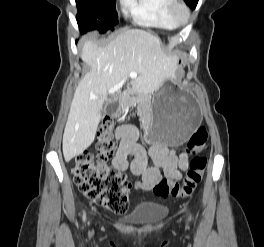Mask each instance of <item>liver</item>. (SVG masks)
Here are the masks:
<instances>
[{"label":"liver","mask_w":264,"mask_h":247,"mask_svg":"<svg viewBox=\"0 0 264 247\" xmlns=\"http://www.w3.org/2000/svg\"><path fill=\"white\" fill-rule=\"evenodd\" d=\"M81 59L90 71L79 82L71 103L63 135L66 162L92 144L110 88L136 73L133 89L152 93L172 77L175 66V60L161 48L160 39L142 29L127 30L105 47L87 40ZM91 95L99 98L91 100Z\"/></svg>","instance_id":"obj_1"}]
</instances>
